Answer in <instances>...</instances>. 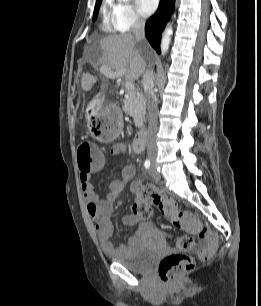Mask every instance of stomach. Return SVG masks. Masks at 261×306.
Segmentation results:
<instances>
[{
    "mask_svg": "<svg viewBox=\"0 0 261 306\" xmlns=\"http://www.w3.org/2000/svg\"><path fill=\"white\" fill-rule=\"evenodd\" d=\"M107 117V112L100 99L92 101L86 109V118L90 125V129L97 126L98 123Z\"/></svg>",
    "mask_w": 261,
    "mask_h": 306,
    "instance_id": "1",
    "label": "stomach"
}]
</instances>
